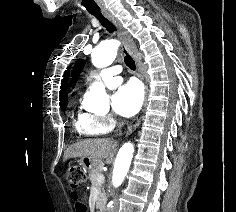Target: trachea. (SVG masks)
<instances>
[{"instance_id":"3493384b","label":"trachea","mask_w":236,"mask_h":212,"mask_svg":"<svg viewBox=\"0 0 236 212\" xmlns=\"http://www.w3.org/2000/svg\"><path fill=\"white\" fill-rule=\"evenodd\" d=\"M91 15L95 16L99 22L101 23V25L103 27L106 28V30L110 33H113L116 28L113 25V23L111 21H109L106 17H104V15L101 12H90ZM124 53L126 54L124 57V62L125 64L131 69V70H135L136 66H135V62L133 61V59L126 53V51L124 50Z\"/></svg>"}]
</instances>
